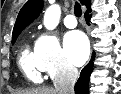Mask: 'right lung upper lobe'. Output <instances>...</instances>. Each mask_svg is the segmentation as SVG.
Instances as JSON below:
<instances>
[{
  "label": "right lung upper lobe",
  "instance_id": "right-lung-upper-lobe-1",
  "mask_svg": "<svg viewBox=\"0 0 121 94\" xmlns=\"http://www.w3.org/2000/svg\"><path fill=\"white\" fill-rule=\"evenodd\" d=\"M81 4L90 9V0H80ZM43 8V0H28L26 4L21 8L16 23L13 29V35L16 33H21V31L27 27L31 22H33L39 15Z\"/></svg>",
  "mask_w": 121,
  "mask_h": 94
}]
</instances>
